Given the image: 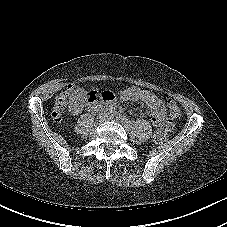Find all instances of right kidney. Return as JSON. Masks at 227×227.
<instances>
[{
  "mask_svg": "<svg viewBox=\"0 0 227 227\" xmlns=\"http://www.w3.org/2000/svg\"><path fill=\"white\" fill-rule=\"evenodd\" d=\"M77 106H78V99L74 97L69 106L70 111L77 113L78 112Z\"/></svg>",
  "mask_w": 227,
  "mask_h": 227,
  "instance_id": "ca27d5eb",
  "label": "right kidney"
}]
</instances>
